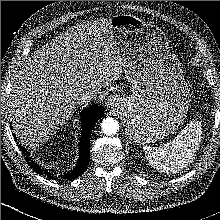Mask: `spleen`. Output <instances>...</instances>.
Wrapping results in <instances>:
<instances>
[{
	"mask_svg": "<svg viewBox=\"0 0 220 220\" xmlns=\"http://www.w3.org/2000/svg\"><path fill=\"white\" fill-rule=\"evenodd\" d=\"M202 136L201 123L191 121L174 140L159 147L144 146L146 158L159 171L177 173L196 156Z\"/></svg>",
	"mask_w": 220,
	"mask_h": 220,
	"instance_id": "3e777b00",
	"label": "spleen"
}]
</instances>
